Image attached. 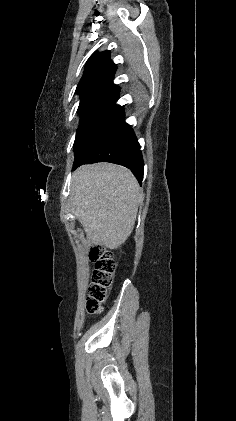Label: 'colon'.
<instances>
[{
  "mask_svg": "<svg viewBox=\"0 0 236 421\" xmlns=\"http://www.w3.org/2000/svg\"><path fill=\"white\" fill-rule=\"evenodd\" d=\"M90 259L95 263L86 301V310L91 315L102 312L114 282L116 263L113 255L102 246L90 251Z\"/></svg>",
  "mask_w": 236,
  "mask_h": 421,
  "instance_id": "1",
  "label": "colon"
}]
</instances>
